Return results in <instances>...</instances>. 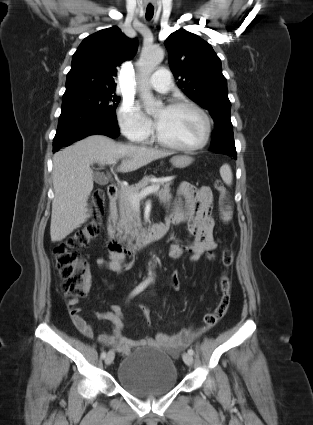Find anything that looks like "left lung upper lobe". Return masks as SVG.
I'll return each mask as SVG.
<instances>
[{
  "label": "left lung upper lobe",
  "mask_w": 313,
  "mask_h": 425,
  "mask_svg": "<svg viewBox=\"0 0 313 425\" xmlns=\"http://www.w3.org/2000/svg\"><path fill=\"white\" fill-rule=\"evenodd\" d=\"M165 46L177 85L194 102L210 112L215 129L232 128L231 103L221 60L211 45L184 29L172 33Z\"/></svg>",
  "instance_id": "1"
}]
</instances>
